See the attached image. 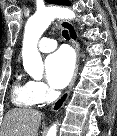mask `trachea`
Returning <instances> with one entry per match:
<instances>
[{"instance_id":"3493384b","label":"trachea","mask_w":117,"mask_h":136,"mask_svg":"<svg viewBox=\"0 0 117 136\" xmlns=\"http://www.w3.org/2000/svg\"><path fill=\"white\" fill-rule=\"evenodd\" d=\"M62 36H63L65 39H67V40H69V39H70V37H69V33H68V31H67V30H63V31H62Z\"/></svg>"}]
</instances>
